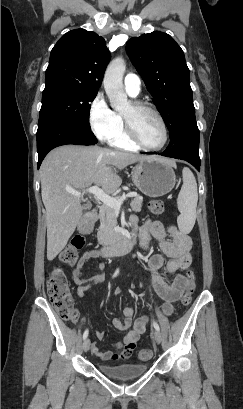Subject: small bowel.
<instances>
[{
  "label": "small bowel",
  "mask_w": 243,
  "mask_h": 409,
  "mask_svg": "<svg viewBox=\"0 0 243 409\" xmlns=\"http://www.w3.org/2000/svg\"><path fill=\"white\" fill-rule=\"evenodd\" d=\"M131 223L134 230L139 233L143 249L146 253H149V239L152 236L159 242L163 254L168 257L165 263L162 254H150L148 266L153 288L164 301L162 310L165 314L169 315L173 310L172 303L181 297L186 287L187 278L178 271L187 268L191 263L192 240L173 224L165 226L158 220L149 219L143 224L138 225L136 217L131 218ZM167 236H169L170 239H167ZM99 256L100 251L97 249L84 252L76 267L71 272L73 282L78 285L77 294L80 297H82L86 291L85 283L92 282L97 284L105 280L104 273H98L90 278L84 277L86 265ZM164 264L166 273L175 274L172 283H167L160 273ZM103 266V263L97 264V268L99 269H102ZM114 293L120 294L121 289H115ZM133 314V308L125 307L122 311L123 317L121 319L116 318L113 321L114 327L118 331L125 333L121 341L113 343V347L117 349V351L101 350L96 343H93L91 346L92 353L102 360H125L129 358L136 347L140 335L145 332L148 323V319L144 315L137 317L133 323ZM84 323H86V321H84ZM132 324H134L133 329L130 328ZM104 335L103 331L96 333L98 339H103Z\"/></svg>",
  "instance_id": "c3829d8e"
}]
</instances>
